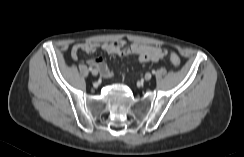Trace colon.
I'll list each match as a JSON object with an SVG mask.
<instances>
[{
  "label": "colon",
  "instance_id": "colon-1",
  "mask_svg": "<svg viewBox=\"0 0 244 157\" xmlns=\"http://www.w3.org/2000/svg\"><path fill=\"white\" fill-rule=\"evenodd\" d=\"M169 59H170L171 63H172L174 66H179L180 63H181V60H180L179 56H178L177 54H175V53H171V54L169 55Z\"/></svg>",
  "mask_w": 244,
  "mask_h": 157
}]
</instances>
